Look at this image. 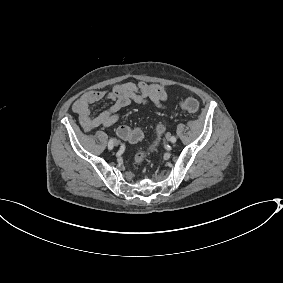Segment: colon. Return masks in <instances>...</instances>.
<instances>
[{"instance_id":"obj_1","label":"colon","mask_w":283,"mask_h":283,"mask_svg":"<svg viewBox=\"0 0 283 283\" xmlns=\"http://www.w3.org/2000/svg\"><path fill=\"white\" fill-rule=\"evenodd\" d=\"M180 105L181 108L188 113H195L199 109V102L193 97H188L183 99ZM117 132L123 139L133 143L138 142L143 137V133L141 129L139 128L131 129L125 125L119 126ZM162 133H163V127L159 125L157 127V136L154 143L146 151L138 152L135 155L134 161L137 165L143 164L146 156L149 153L155 152L157 150V147L161 141Z\"/></svg>"}]
</instances>
